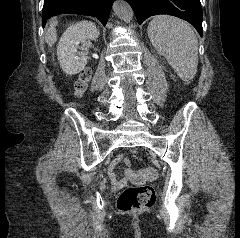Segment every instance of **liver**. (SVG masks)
Instances as JSON below:
<instances>
[{"instance_id": "1", "label": "liver", "mask_w": 240, "mask_h": 238, "mask_svg": "<svg viewBox=\"0 0 240 238\" xmlns=\"http://www.w3.org/2000/svg\"><path fill=\"white\" fill-rule=\"evenodd\" d=\"M57 21H52L50 27L47 29L45 41L51 48L53 44L57 41V32H56Z\"/></svg>"}]
</instances>
